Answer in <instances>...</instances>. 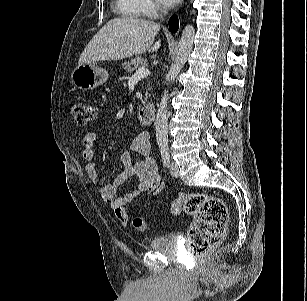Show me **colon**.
Instances as JSON below:
<instances>
[{
    "label": "colon",
    "mask_w": 307,
    "mask_h": 301,
    "mask_svg": "<svg viewBox=\"0 0 307 301\" xmlns=\"http://www.w3.org/2000/svg\"><path fill=\"white\" fill-rule=\"evenodd\" d=\"M69 109L77 126H86L96 118V108L88 102L73 100ZM180 212L194 217L187 239L188 251L194 256L206 254L221 242L228 219L227 207L221 198L203 192L181 193L170 205L173 216ZM133 226L144 231L147 222L137 217Z\"/></svg>",
    "instance_id": "5ec220e1"
}]
</instances>
